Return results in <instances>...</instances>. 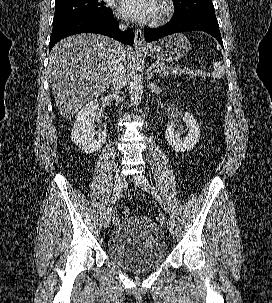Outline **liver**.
Instances as JSON below:
<instances>
[{
  "label": "liver",
  "instance_id": "6515ba94",
  "mask_svg": "<svg viewBox=\"0 0 272 303\" xmlns=\"http://www.w3.org/2000/svg\"><path fill=\"white\" fill-rule=\"evenodd\" d=\"M127 47L119 49L109 37L82 33L59 41L49 55L52 93L64 118L103 94L112 81L119 53L125 57Z\"/></svg>",
  "mask_w": 272,
  "mask_h": 303
}]
</instances>
